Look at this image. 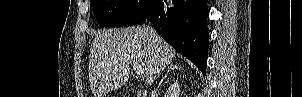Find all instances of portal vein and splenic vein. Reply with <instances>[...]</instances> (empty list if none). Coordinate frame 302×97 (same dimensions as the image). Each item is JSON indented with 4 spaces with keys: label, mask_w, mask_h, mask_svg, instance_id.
I'll return each mask as SVG.
<instances>
[{
    "label": "portal vein and splenic vein",
    "mask_w": 302,
    "mask_h": 97,
    "mask_svg": "<svg viewBox=\"0 0 302 97\" xmlns=\"http://www.w3.org/2000/svg\"><path fill=\"white\" fill-rule=\"evenodd\" d=\"M132 64H133V69L135 70L136 74L138 76H142L144 74V69H143L142 65H140L137 62H133Z\"/></svg>",
    "instance_id": "1"
}]
</instances>
